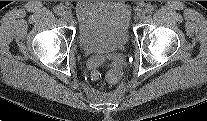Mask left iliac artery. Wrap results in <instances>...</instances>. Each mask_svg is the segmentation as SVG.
<instances>
[{"label":"left iliac artery","instance_id":"obj_1","mask_svg":"<svg viewBox=\"0 0 207 121\" xmlns=\"http://www.w3.org/2000/svg\"><path fill=\"white\" fill-rule=\"evenodd\" d=\"M154 6L153 5H147L146 6V8H145V12L147 13V14H151L153 11H154Z\"/></svg>","mask_w":207,"mask_h":121}]
</instances>
